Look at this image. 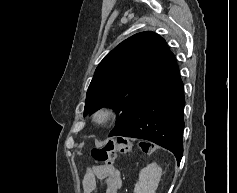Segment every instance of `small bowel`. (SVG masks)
Segmentation results:
<instances>
[{"label":"small bowel","mask_w":237,"mask_h":193,"mask_svg":"<svg viewBox=\"0 0 237 193\" xmlns=\"http://www.w3.org/2000/svg\"><path fill=\"white\" fill-rule=\"evenodd\" d=\"M103 180L105 193H119L122 188V178L115 166H98L85 175L82 188L84 193H93L96 188V180Z\"/></svg>","instance_id":"small-bowel-1"}]
</instances>
